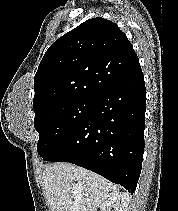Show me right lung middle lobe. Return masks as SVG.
<instances>
[{
    "mask_svg": "<svg viewBox=\"0 0 178 211\" xmlns=\"http://www.w3.org/2000/svg\"><path fill=\"white\" fill-rule=\"evenodd\" d=\"M95 99L74 98L50 104L35 113L37 151L43 158L75 131L90 114Z\"/></svg>",
    "mask_w": 178,
    "mask_h": 211,
    "instance_id": "1",
    "label": "right lung middle lobe"
}]
</instances>
